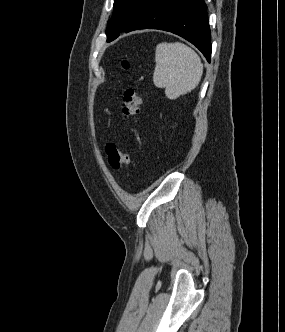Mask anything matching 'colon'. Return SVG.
<instances>
[{"label": "colon", "instance_id": "1", "mask_svg": "<svg viewBox=\"0 0 285 332\" xmlns=\"http://www.w3.org/2000/svg\"><path fill=\"white\" fill-rule=\"evenodd\" d=\"M122 65L125 69L130 67L127 60L123 61ZM141 104L142 99L138 90L133 86L126 88L121 98V111L123 119L126 121L135 120L140 112ZM105 151L109 165L114 170L125 168L131 162V157L114 144H108Z\"/></svg>", "mask_w": 285, "mask_h": 332}]
</instances>
